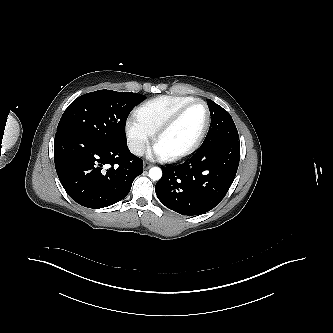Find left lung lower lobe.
<instances>
[{
	"label": "left lung lower lobe",
	"instance_id": "0a47b994",
	"mask_svg": "<svg viewBox=\"0 0 333 333\" xmlns=\"http://www.w3.org/2000/svg\"><path fill=\"white\" fill-rule=\"evenodd\" d=\"M240 160L237 138L203 144L184 163L162 167L155 186L160 202L183 215H200L217 206L234 181Z\"/></svg>",
	"mask_w": 333,
	"mask_h": 333
}]
</instances>
